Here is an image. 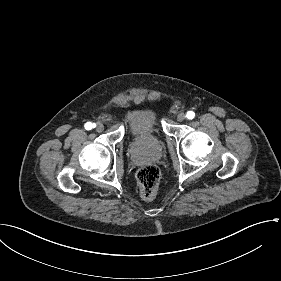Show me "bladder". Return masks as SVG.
I'll return each instance as SVG.
<instances>
[{
  "instance_id": "bladder-1",
  "label": "bladder",
  "mask_w": 281,
  "mask_h": 281,
  "mask_svg": "<svg viewBox=\"0 0 281 281\" xmlns=\"http://www.w3.org/2000/svg\"><path fill=\"white\" fill-rule=\"evenodd\" d=\"M125 127L132 141L145 132H156L162 135L156 108L147 104L133 106L127 110Z\"/></svg>"
}]
</instances>
